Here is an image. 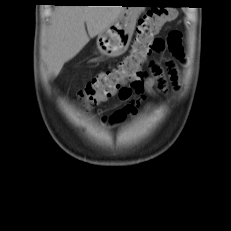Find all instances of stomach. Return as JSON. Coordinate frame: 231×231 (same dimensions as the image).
<instances>
[{"label": "stomach", "mask_w": 231, "mask_h": 231, "mask_svg": "<svg viewBox=\"0 0 231 231\" xmlns=\"http://www.w3.org/2000/svg\"><path fill=\"white\" fill-rule=\"evenodd\" d=\"M143 10L144 7L125 8L112 25L98 34L97 48L102 55L117 57L128 49L137 18Z\"/></svg>", "instance_id": "1"}]
</instances>
